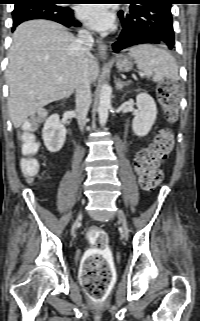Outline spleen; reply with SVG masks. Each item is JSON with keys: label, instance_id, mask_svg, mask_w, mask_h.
Segmentation results:
<instances>
[{"label": "spleen", "instance_id": "obj_1", "mask_svg": "<svg viewBox=\"0 0 200 321\" xmlns=\"http://www.w3.org/2000/svg\"><path fill=\"white\" fill-rule=\"evenodd\" d=\"M129 56L135 59L140 76L160 80L163 77L178 81V65L166 50L151 44H141L129 49Z\"/></svg>", "mask_w": 200, "mask_h": 321}]
</instances>
